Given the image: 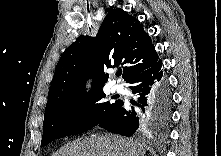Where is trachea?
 Masks as SVG:
<instances>
[{"label": "trachea", "mask_w": 221, "mask_h": 156, "mask_svg": "<svg viewBox=\"0 0 221 156\" xmlns=\"http://www.w3.org/2000/svg\"><path fill=\"white\" fill-rule=\"evenodd\" d=\"M116 75H117V76H120V75H121V72H117Z\"/></svg>", "instance_id": "1"}]
</instances>
